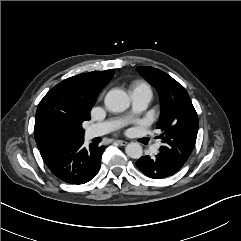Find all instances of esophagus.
<instances>
[{
	"label": "esophagus",
	"mask_w": 241,
	"mask_h": 241,
	"mask_svg": "<svg viewBox=\"0 0 241 241\" xmlns=\"http://www.w3.org/2000/svg\"><path fill=\"white\" fill-rule=\"evenodd\" d=\"M116 143H118L121 146H125L127 144V142L124 140H116Z\"/></svg>",
	"instance_id": "1"
}]
</instances>
